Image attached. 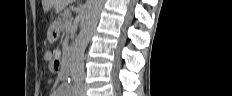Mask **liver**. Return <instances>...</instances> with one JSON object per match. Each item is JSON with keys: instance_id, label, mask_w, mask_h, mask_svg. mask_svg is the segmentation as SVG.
Returning a JSON list of instances; mask_svg holds the SVG:
<instances>
[{"instance_id": "6515ba94", "label": "liver", "mask_w": 232, "mask_h": 96, "mask_svg": "<svg viewBox=\"0 0 232 96\" xmlns=\"http://www.w3.org/2000/svg\"><path fill=\"white\" fill-rule=\"evenodd\" d=\"M70 2L71 0H42V6L44 13H48L52 8H54L57 13Z\"/></svg>"}]
</instances>
